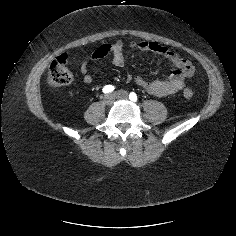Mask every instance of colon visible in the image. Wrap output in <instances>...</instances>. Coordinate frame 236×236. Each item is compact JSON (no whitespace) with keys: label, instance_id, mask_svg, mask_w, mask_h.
<instances>
[{"label":"colon","instance_id":"5ec220e1","mask_svg":"<svg viewBox=\"0 0 236 236\" xmlns=\"http://www.w3.org/2000/svg\"><path fill=\"white\" fill-rule=\"evenodd\" d=\"M73 80V74L68 67V55L63 54L54 59L48 69L47 82L53 88L69 85ZM184 96L187 99L192 98L193 92L186 88Z\"/></svg>","mask_w":236,"mask_h":236}]
</instances>
